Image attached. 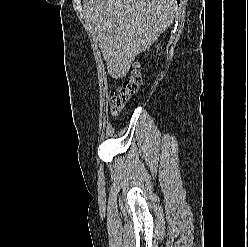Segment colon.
Listing matches in <instances>:
<instances>
[{
    "instance_id": "colon-1",
    "label": "colon",
    "mask_w": 248,
    "mask_h": 247,
    "mask_svg": "<svg viewBox=\"0 0 248 247\" xmlns=\"http://www.w3.org/2000/svg\"><path fill=\"white\" fill-rule=\"evenodd\" d=\"M141 85V74L137 66H134L129 76L119 86L111 99V110L117 114L134 95Z\"/></svg>"
}]
</instances>
